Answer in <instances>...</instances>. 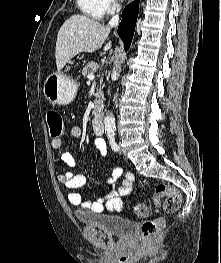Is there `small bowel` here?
Here are the masks:
<instances>
[{
    "instance_id": "obj_1",
    "label": "small bowel",
    "mask_w": 221,
    "mask_h": 263,
    "mask_svg": "<svg viewBox=\"0 0 221 263\" xmlns=\"http://www.w3.org/2000/svg\"><path fill=\"white\" fill-rule=\"evenodd\" d=\"M81 135V129L78 126H72L68 132L69 138H78ZM63 144V139H54L51 142V147L54 150H60ZM93 145L96 153L102 158L107 156V148L104 140L101 137H96L93 141ZM59 166L75 167L76 161L74 157L68 152H61L58 160ZM123 170L120 167H116L112 170L110 176L106 179L105 185L108 186L111 191L97 198L94 201L86 200L82 194L74 191L85 185L86 179L82 174H76L73 172H64L58 175V181L69 190L68 200L69 202L79 208L81 211L90 210L94 213H100L103 210L111 212L120 211L123 208V201L121 196H127L132 192L133 182L135 176L133 173H127L119 188H116L118 179L122 176Z\"/></svg>"
}]
</instances>
